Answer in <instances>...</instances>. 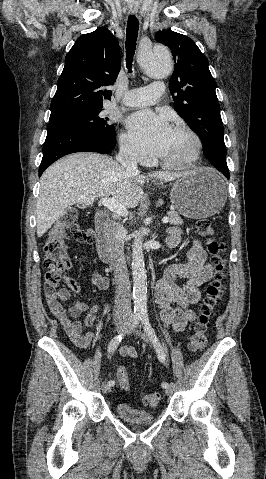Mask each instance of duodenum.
<instances>
[{"label": "duodenum", "instance_id": "410a0bca", "mask_svg": "<svg viewBox=\"0 0 266 479\" xmlns=\"http://www.w3.org/2000/svg\"><path fill=\"white\" fill-rule=\"evenodd\" d=\"M94 222V243L96 253L101 261L105 263H112V252L107 232V228L110 223V217L105 211L99 210L95 214Z\"/></svg>", "mask_w": 266, "mask_h": 479}]
</instances>
